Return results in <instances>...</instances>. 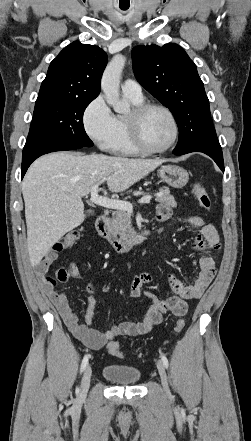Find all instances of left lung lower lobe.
<instances>
[{
    "mask_svg": "<svg viewBox=\"0 0 251 441\" xmlns=\"http://www.w3.org/2000/svg\"><path fill=\"white\" fill-rule=\"evenodd\" d=\"M202 152L210 156L224 172L221 146L213 126L212 118L202 117L179 129V140L173 154Z\"/></svg>",
    "mask_w": 251,
    "mask_h": 441,
    "instance_id": "left-lung-lower-lobe-1",
    "label": "left lung lower lobe"
}]
</instances>
